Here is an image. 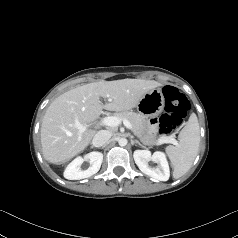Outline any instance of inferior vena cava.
<instances>
[{
    "mask_svg": "<svg viewBox=\"0 0 238 238\" xmlns=\"http://www.w3.org/2000/svg\"><path fill=\"white\" fill-rule=\"evenodd\" d=\"M110 137H111V134L109 131L100 130L94 135L92 144L95 147H101L109 141Z\"/></svg>",
    "mask_w": 238,
    "mask_h": 238,
    "instance_id": "obj_1",
    "label": "inferior vena cava"
}]
</instances>
